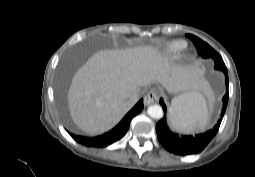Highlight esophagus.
I'll return each instance as SVG.
<instances>
[{"label":"esophagus","mask_w":255,"mask_h":177,"mask_svg":"<svg viewBox=\"0 0 255 177\" xmlns=\"http://www.w3.org/2000/svg\"><path fill=\"white\" fill-rule=\"evenodd\" d=\"M159 99V96L155 89H151L144 97V104L149 105L152 103H156Z\"/></svg>","instance_id":"esophagus-1"}]
</instances>
